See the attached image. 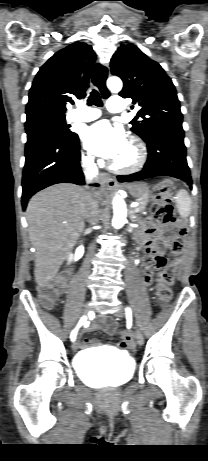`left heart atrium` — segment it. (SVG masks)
Here are the masks:
<instances>
[{"label": "left heart atrium", "mask_w": 208, "mask_h": 461, "mask_svg": "<svg viewBox=\"0 0 208 461\" xmlns=\"http://www.w3.org/2000/svg\"><path fill=\"white\" fill-rule=\"evenodd\" d=\"M83 140L91 153L112 160L122 153L127 143L123 130L104 120L88 127Z\"/></svg>", "instance_id": "39dd6f15"}]
</instances>
